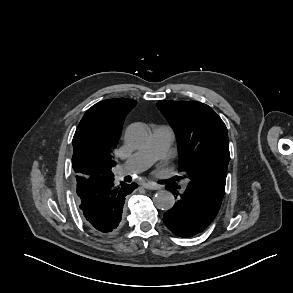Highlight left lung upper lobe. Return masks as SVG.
<instances>
[{"label":"left lung upper lobe","instance_id":"5c2ea615","mask_svg":"<svg viewBox=\"0 0 293 293\" xmlns=\"http://www.w3.org/2000/svg\"><path fill=\"white\" fill-rule=\"evenodd\" d=\"M175 128L179 141V171L189 184L222 200L230 159L227 128L206 104L197 101L157 103Z\"/></svg>","mask_w":293,"mask_h":293}]
</instances>
